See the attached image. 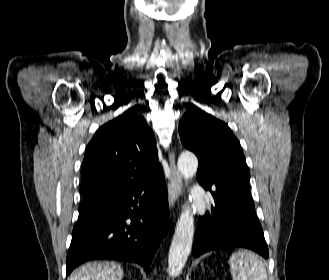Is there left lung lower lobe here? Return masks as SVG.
Returning a JSON list of instances; mask_svg holds the SVG:
<instances>
[{
  "mask_svg": "<svg viewBox=\"0 0 329 280\" xmlns=\"http://www.w3.org/2000/svg\"><path fill=\"white\" fill-rule=\"evenodd\" d=\"M213 198L212 210L198 218L193 255L198 257L212 250L243 247L268 258L267 244L248 187Z\"/></svg>",
  "mask_w": 329,
  "mask_h": 280,
  "instance_id": "left-lung-lower-lobe-1",
  "label": "left lung lower lobe"
}]
</instances>
